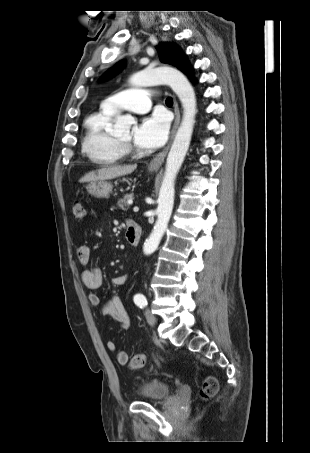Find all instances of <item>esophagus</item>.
Here are the masks:
<instances>
[{"mask_svg":"<svg viewBox=\"0 0 310 453\" xmlns=\"http://www.w3.org/2000/svg\"><path fill=\"white\" fill-rule=\"evenodd\" d=\"M174 113H175V121H174V125H173L172 131H171L170 141H169L168 145L150 161V163H149L150 168H158L162 165V163L164 162V159L167 155V152L170 148V145H171L172 139L175 135L176 129L179 125L180 111H179L178 103L176 101L174 102Z\"/></svg>","mask_w":310,"mask_h":453,"instance_id":"esophagus-1","label":"esophagus"}]
</instances>
